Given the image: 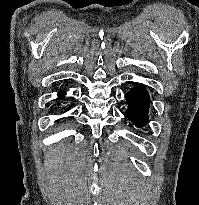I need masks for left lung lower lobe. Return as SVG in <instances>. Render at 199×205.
Segmentation results:
<instances>
[{"label": "left lung lower lobe", "instance_id": "left-lung-lower-lobe-1", "mask_svg": "<svg viewBox=\"0 0 199 205\" xmlns=\"http://www.w3.org/2000/svg\"><path fill=\"white\" fill-rule=\"evenodd\" d=\"M125 99L128 102V110L126 111V117L132 121L137 127L144 126L148 122V111L150 99L149 95L142 84H136L125 95Z\"/></svg>", "mask_w": 199, "mask_h": 205}]
</instances>
